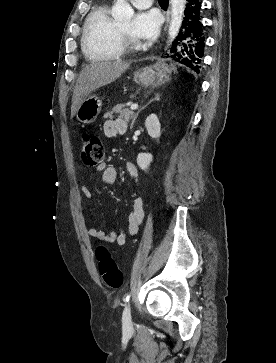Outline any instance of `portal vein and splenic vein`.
Returning a JSON list of instances; mask_svg holds the SVG:
<instances>
[{
	"instance_id": "portal-vein-and-splenic-vein-1",
	"label": "portal vein and splenic vein",
	"mask_w": 276,
	"mask_h": 363,
	"mask_svg": "<svg viewBox=\"0 0 276 363\" xmlns=\"http://www.w3.org/2000/svg\"><path fill=\"white\" fill-rule=\"evenodd\" d=\"M130 109H131V110H136V109H138V104H132V105L130 106Z\"/></svg>"
}]
</instances>
